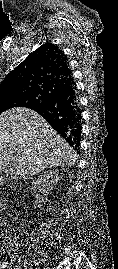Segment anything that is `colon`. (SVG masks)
Here are the masks:
<instances>
[{
	"label": "colon",
	"instance_id": "1",
	"mask_svg": "<svg viewBox=\"0 0 118 269\" xmlns=\"http://www.w3.org/2000/svg\"><path fill=\"white\" fill-rule=\"evenodd\" d=\"M1 206V202H0ZM16 241L11 237H5L0 240V264H8L13 260ZM0 265V267H2Z\"/></svg>",
	"mask_w": 118,
	"mask_h": 269
}]
</instances>
